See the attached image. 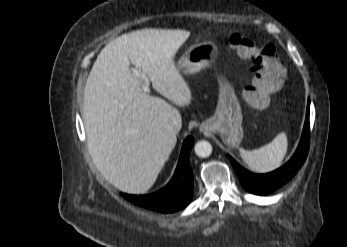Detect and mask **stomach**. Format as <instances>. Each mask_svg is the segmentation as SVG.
<instances>
[{"mask_svg":"<svg viewBox=\"0 0 347 247\" xmlns=\"http://www.w3.org/2000/svg\"><path fill=\"white\" fill-rule=\"evenodd\" d=\"M219 49L211 41L192 45L177 62V70L185 75L199 72L210 66L218 57ZM243 115L233 87L224 79L219 80V97L212 117L205 120L200 129L217 133L222 140L237 147L243 139Z\"/></svg>","mask_w":347,"mask_h":247,"instance_id":"stomach-1","label":"stomach"}]
</instances>
